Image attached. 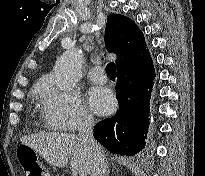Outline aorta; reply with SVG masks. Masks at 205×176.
<instances>
[{
	"label": "aorta",
	"instance_id": "aorta-1",
	"mask_svg": "<svg viewBox=\"0 0 205 176\" xmlns=\"http://www.w3.org/2000/svg\"><path fill=\"white\" fill-rule=\"evenodd\" d=\"M82 53L78 49L64 52L55 64V82L62 91H71L82 75Z\"/></svg>",
	"mask_w": 205,
	"mask_h": 176
}]
</instances>
